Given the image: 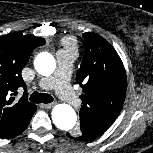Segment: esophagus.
<instances>
[{
	"mask_svg": "<svg viewBox=\"0 0 153 153\" xmlns=\"http://www.w3.org/2000/svg\"><path fill=\"white\" fill-rule=\"evenodd\" d=\"M55 105V103L42 104L41 106L46 109H50Z\"/></svg>",
	"mask_w": 153,
	"mask_h": 153,
	"instance_id": "34e87169",
	"label": "esophagus"
}]
</instances>
